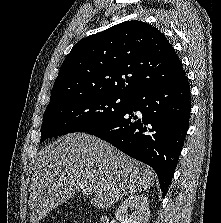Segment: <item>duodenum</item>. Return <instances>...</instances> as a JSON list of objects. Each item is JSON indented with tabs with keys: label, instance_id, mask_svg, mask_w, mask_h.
Masks as SVG:
<instances>
[{
	"label": "duodenum",
	"instance_id": "obj_1",
	"mask_svg": "<svg viewBox=\"0 0 221 223\" xmlns=\"http://www.w3.org/2000/svg\"><path fill=\"white\" fill-rule=\"evenodd\" d=\"M102 223H109L108 218H107V217H104V218L102 219Z\"/></svg>",
	"mask_w": 221,
	"mask_h": 223
}]
</instances>
